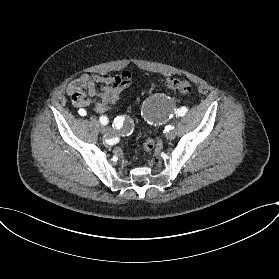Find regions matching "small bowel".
I'll return each instance as SVG.
<instances>
[{
	"label": "small bowel",
	"mask_w": 279,
	"mask_h": 279,
	"mask_svg": "<svg viewBox=\"0 0 279 279\" xmlns=\"http://www.w3.org/2000/svg\"><path fill=\"white\" fill-rule=\"evenodd\" d=\"M131 79L128 71L115 76L82 74L69 83L67 95L76 107L93 105L97 113L103 114L123 98Z\"/></svg>",
	"instance_id": "1"
}]
</instances>
